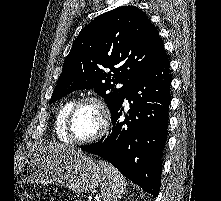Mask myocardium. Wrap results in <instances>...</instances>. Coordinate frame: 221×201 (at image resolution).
<instances>
[{
	"mask_svg": "<svg viewBox=\"0 0 221 201\" xmlns=\"http://www.w3.org/2000/svg\"><path fill=\"white\" fill-rule=\"evenodd\" d=\"M85 103H93L98 107L101 113L102 125L99 132L96 135H94L91 138L81 140V139H76L72 133V121L76 111L79 109L80 106H82ZM110 125H111V112L107 103L97 95H87L74 102V104L72 105V107L68 112L65 128H66V133L72 143L77 145H87L94 143L100 140L102 137H104L108 132Z\"/></svg>",
	"mask_w": 221,
	"mask_h": 201,
	"instance_id": "myocardium-1",
	"label": "myocardium"
}]
</instances>
